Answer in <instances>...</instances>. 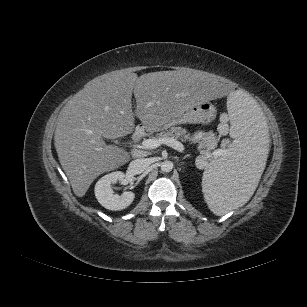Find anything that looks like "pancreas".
Returning a JSON list of instances; mask_svg holds the SVG:
<instances>
[{
	"label": "pancreas",
	"mask_w": 307,
	"mask_h": 307,
	"mask_svg": "<svg viewBox=\"0 0 307 307\" xmlns=\"http://www.w3.org/2000/svg\"><path fill=\"white\" fill-rule=\"evenodd\" d=\"M174 138V139H180L183 142H186L190 139V134L187 132L186 129L182 127H171L169 130L163 131L161 133H158L155 138ZM217 146V142L215 140L211 141L208 144L201 143L198 145V149L200 150L201 154H211V150H214Z\"/></svg>",
	"instance_id": "1"
}]
</instances>
